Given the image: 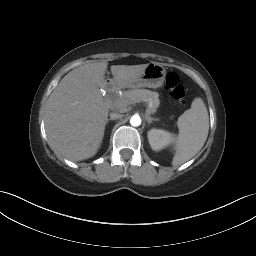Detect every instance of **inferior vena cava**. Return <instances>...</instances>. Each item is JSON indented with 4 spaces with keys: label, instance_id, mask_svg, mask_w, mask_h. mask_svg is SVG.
<instances>
[{
    "label": "inferior vena cava",
    "instance_id": "obj_1",
    "mask_svg": "<svg viewBox=\"0 0 256 256\" xmlns=\"http://www.w3.org/2000/svg\"><path fill=\"white\" fill-rule=\"evenodd\" d=\"M109 116H110V118L113 119V120L122 118V114H120V113H118V112H112V113H110Z\"/></svg>",
    "mask_w": 256,
    "mask_h": 256
}]
</instances>
